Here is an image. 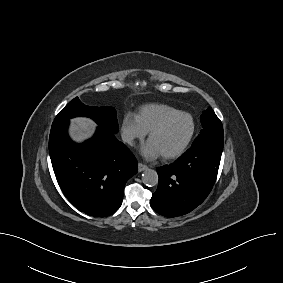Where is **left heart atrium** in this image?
I'll use <instances>...</instances> for the list:
<instances>
[{"label":"left heart atrium","mask_w":283,"mask_h":283,"mask_svg":"<svg viewBox=\"0 0 283 283\" xmlns=\"http://www.w3.org/2000/svg\"><path fill=\"white\" fill-rule=\"evenodd\" d=\"M140 153L144 158L148 160H154L161 155L159 149L151 140L147 141L141 146Z\"/></svg>","instance_id":"obj_1"}]
</instances>
